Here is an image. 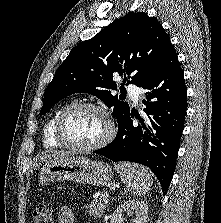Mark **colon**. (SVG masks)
Wrapping results in <instances>:
<instances>
[{"label":"colon","mask_w":221,"mask_h":223,"mask_svg":"<svg viewBox=\"0 0 221 223\" xmlns=\"http://www.w3.org/2000/svg\"><path fill=\"white\" fill-rule=\"evenodd\" d=\"M53 210L46 203L36 206L33 213V223H53Z\"/></svg>","instance_id":"colon-1"}]
</instances>
